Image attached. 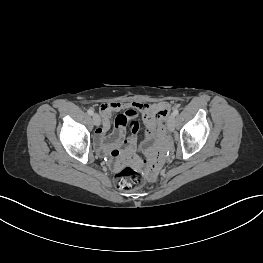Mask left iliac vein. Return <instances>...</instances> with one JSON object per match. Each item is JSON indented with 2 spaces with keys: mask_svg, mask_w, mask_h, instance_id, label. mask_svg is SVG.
Returning <instances> with one entry per match:
<instances>
[{
  "mask_svg": "<svg viewBox=\"0 0 263 263\" xmlns=\"http://www.w3.org/2000/svg\"><path fill=\"white\" fill-rule=\"evenodd\" d=\"M175 123H176L175 115H173V113H172L169 116L168 121H167V126H168V129L170 132L174 131Z\"/></svg>",
  "mask_w": 263,
  "mask_h": 263,
  "instance_id": "1",
  "label": "left iliac vein"
}]
</instances>
